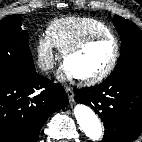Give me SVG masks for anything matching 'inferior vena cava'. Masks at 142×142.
Returning a JSON list of instances; mask_svg holds the SVG:
<instances>
[{
	"mask_svg": "<svg viewBox=\"0 0 142 142\" xmlns=\"http://www.w3.org/2000/svg\"><path fill=\"white\" fill-rule=\"evenodd\" d=\"M38 65L41 70L46 71L54 67V62L52 60H45L40 62Z\"/></svg>",
	"mask_w": 142,
	"mask_h": 142,
	"instance_id": "602c4592",
	"label": "inferior vena cava"
}]
</instances>
